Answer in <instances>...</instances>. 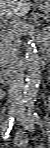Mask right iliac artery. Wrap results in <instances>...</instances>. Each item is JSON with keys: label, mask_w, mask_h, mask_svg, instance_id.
<instances>
[{"label": "right iliac artery", "mask_w": 50, "mask_h": 148, "mask_svg": "<svg viewBox=\"0 0 50 148\" xmlns=\"http://www.w3.org/2000/svg\"><path fill=\"white\" fill-rule=\"evenodd\" d=\"M13 121H14V117H10L8 120L2 123L1 128H2V134H4L3 136L4 139L8 138V134L13 126Z\"/></svg>", "instance_id": "1"}]
</instances>
